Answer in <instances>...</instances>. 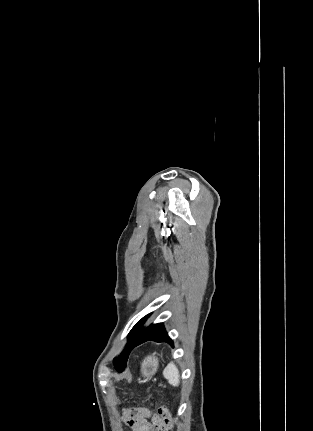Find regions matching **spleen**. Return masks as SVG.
Masks as SVG:
<instances>
[{"label":"spleen","mask_w":313,"mask_h":431,"mask_svg":"<svg viewBox=\"0 0 313 431\" xmlns=\"http://www.w3.org/2000/svg\"><path fill=\"white\" fill-rule=\"evenodd\" d=\"M163 375L171 385H179V371L173 362L169 363L164 369Z\"/></svg>","instance_id":"spleen-1"}]
</instances>
